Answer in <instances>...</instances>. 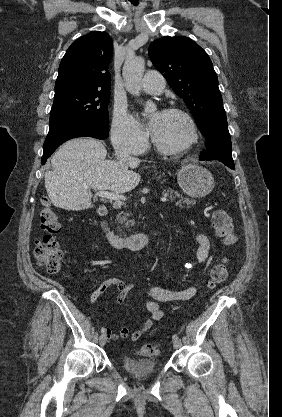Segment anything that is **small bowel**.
I'll list each match as a JSON object with an SVG mask.
<instances>
[{"mask_svg":"<svg viewBox=\"0 0 282 417\" xmlns=\"http://www.w3.org/2000/svg\"><path fill=\"white\" fill-rule=\"evenodd\" d=\"M197 242L196 259L204 263L210 256V241L206 234L198 232L194 235ZM118 291V301L122 303L127 295L134 289V285L126 283L119 278H109L94 289L90 296V302H95L109 288ZM197 294V286L192 285L183 289H171L160 286L150 288L146 295L145 305L151 314V318L145 321L137 330L130 332L127 326H122L118 331H113L107 327L104 329L105 335L113 340L130 338L137 341L155 322H160L164 318L163 311L159 308V303L182 302L192 299Z\"/></svg>","mask_w":282,"mask_h":417,"instance_id":"c3829d8e","label":"small bowel"}]
</instances>
